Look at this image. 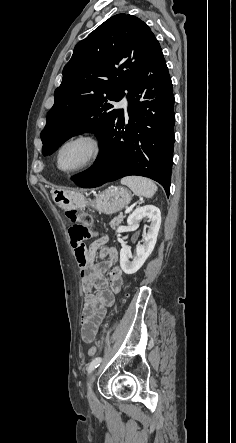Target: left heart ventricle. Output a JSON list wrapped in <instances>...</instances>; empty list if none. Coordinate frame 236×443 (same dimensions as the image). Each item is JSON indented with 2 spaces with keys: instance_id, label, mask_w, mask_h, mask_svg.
<instances>
[{
  "instance_id": "b2bd125f",
  "label": "left heart ventricle",
  "mask_w": 236,
  "mask_h": 443,
  "mask_svg": "<svg viewBox=\"0 0 236 443\" xmlns=\"http://www.w3.org/2000/svg\"><path fill=\"white\" fill-rule=\"evenodd\" d=\"M91 148L84 141L69 144L62 152L60 165L63 169H72L82 165L90 156Z\"/></svg>"
}]
</instances>
